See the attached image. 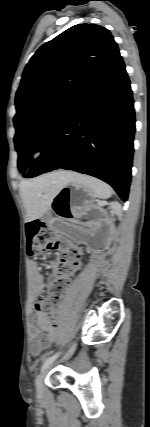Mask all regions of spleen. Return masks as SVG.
<instances>
[{
	"label": "spleen",
	"mask_w": 150,
	"mask_h": 427,
	"mask_svg": "<svg viewBox=\"0 0 150 427\" xmlns=\"http://www.w3.org/2000/svg\"><path fill=\"white\" fill-rule=\"evenodd\" d=\"M75 181L91 189L97 198L105 200L112 196V188L105 182L91 176L77 174Z\"/></svg>",
	"instance_id": "spleen-1"
}]
</instances>
